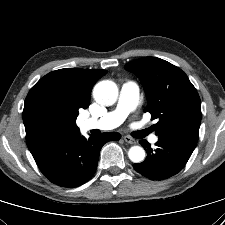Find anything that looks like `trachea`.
<instances>
[{"mask_svg":"<svg viewBox=\"0 0 225 225\" xmlns=\"http://www.w3.org/2000/svg\"><path fill=\"white\" fill-rule=\"evenodd\" d=\"M146 135V132L144 131V132H142V134H141V136H145Z\"/></svg>","mask_w":225,"mask_h":225,"instance_id":"obj_1","label":"trachea"}]
</instances>
